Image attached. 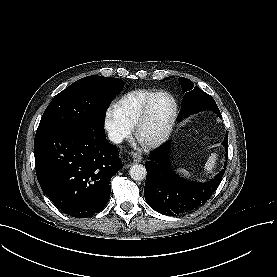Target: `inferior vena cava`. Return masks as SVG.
I'll return each mask as SVG.
<instances>
[{
	"mask_svg": "<svg viewBox=\"0 0 277 277\" xmlns=\"http://www.w3.org/2000/svg\"><path fill=\"white\" fill-rule=\"evenodd\" d=\"M109 140L113 143L119 144L123 141V136L116 130H110L108 132Z\"/></svg>",
	"mask_w": 277,
	"mask_h": 277,
	"instance_id": "obj_1",
	"label": "inferior vena cava"
}]
</instances>
